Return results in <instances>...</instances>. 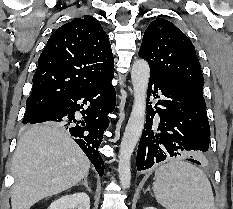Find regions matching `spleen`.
I'll return each mask as SVG.
<instances>
[{
    "instance_id": "1",
    "label": "spleen",
    "mask_w": 233,
    "mask_h": 209,
    "mask_svg": "<svg viewBox=\"0 0 233 209\" xmlns=\"http://www.w3.org/2000/svg\"><path fill=\"white\" fill-rule=\"evenodd\" d=\"M153 192L166 209H215L211 184L195 165L172 160L155 172Z\"/></svg>"
}]
</instances>
